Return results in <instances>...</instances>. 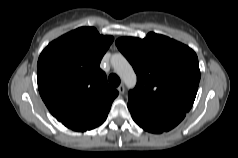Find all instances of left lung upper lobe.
Returning <instances> with one entry per match:
<instances>
[{
  "label": "left lung upper lobe",
  "mask_w": 238,
  "mask_h": 158,
  "mask_svg": "<svg viewBox=\"0 0 238 158\" xmlns=\"http://www.w3.org/2000/svg\"><path fill=\"white\" fill-rule=\"evenodd\" d=\"M116 45L137 74L129 102L147 112L189 111L194 103L200 70L196 53L169 37H123Z\"/></svg>",
  "instance_id": "left-lung-upper-lobe-1"
}]
</instances>
